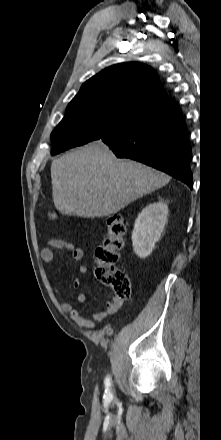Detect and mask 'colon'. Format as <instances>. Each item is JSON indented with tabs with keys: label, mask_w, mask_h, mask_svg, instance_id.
Returning <instances> with one entry per match:
<instances>
[{
	"label": "colon",
	"mask_w": 221,
	"mask_h": 440,
	"mask_svg": "<svg viewBox=\"0 0 221 440\" xmlns=\"http://www.w3.org/2000/svg\"><path fill=\"white\" fill-rule=\"evenodd\" d=\"M50 216L54 218V214ZM126 226L119 214H112L108 218V234L101 246L96 249L97 279L112 289L114 295L121 299L131 296V282L129 276L121 270L115 269L120 258V251L124 244Z\"/></svg>",
	"instance_id": "obj_1"
}]
</instances>
